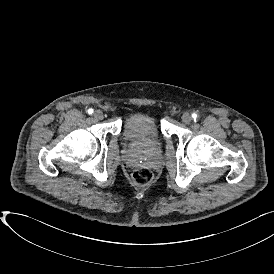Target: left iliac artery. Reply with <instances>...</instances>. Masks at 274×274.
Instances as JSON below:
<instances>
[{"mask_svg":"<svg viewBox=\"0 0 274 274\" xmlns=\"http://www.w3.org/2000/svg\"><path fill=\"white\" fill-rule=\"evenodd\" d=\"M192 117H193L194 119H197L198 116H197L196 113H193V114H192Z\"/></svg>","mask_w":274,"mask_h":274,"instance_id":"obj_1","label":"left iliac artery"}]
</instances>
